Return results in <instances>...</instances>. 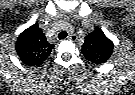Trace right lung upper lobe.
<instances>
[{"mask_svg": "<svg viewBox=\"0 0 135 95\" xmlns=\"http://www.w3.org/2000/svg\"><path fill=\"white\" fill-rule=\"evenodd\" d=\"M53 47L47 42L37 23L22 32L15 44V50L21 62L27 66H40L43 64Z\"/></svg>", "mask_w": 135, "mask_h": 95, "instance_id": "1", "label": "right lung upper lobe"}]
</instances>
